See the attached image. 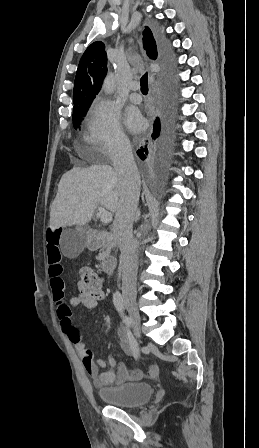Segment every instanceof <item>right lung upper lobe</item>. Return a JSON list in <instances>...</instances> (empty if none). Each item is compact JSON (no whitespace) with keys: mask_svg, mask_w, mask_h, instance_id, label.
I'll list each match as a JSON object with an SVG mask.
<instances>
[{"mask_svg":"<svg viewBox=\"0 0 259 448\" xmlns=\"http://www.w3.org/2000/svg\"><path fill=\"white\" fill-rule=\"evenodd\" d=\"M143 45L150 59L158 57V42L151 30L145 27ZM107 54L103 42L92 43L80 59L74 82V109L89 108L95 95L98 94L107 73Z\"/></svg>","mask_w":259,"mask_h":448,"instance_id":"right-lung-upper-lobe-1","label":"right lung upper lobe"}]
</instances>
